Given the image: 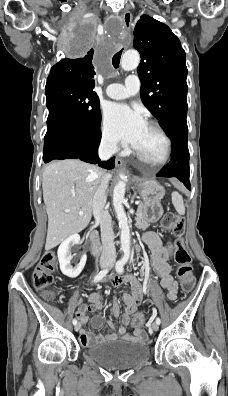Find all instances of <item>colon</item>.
Segmentation results:
<instances>
[{
  "instance_id": "obj_1",
  "label": "colon",
  "mask_w": 228,
  "mask_h": 396,
  "mask_svg": "<svg viewBox=\"0 0 228 396\" xmlns=\"http://www.w3.org/2000/svg\"><path fill=\"white\" fill-rule=\"evenodd\" d=\"M164 228L176 236L174 244V259L178 265L177 274L185 291L192 289L195 278L192 268V257L183 240L184 220L180 215L169 213L163 218ZM56 256L53 252H45L33 271L34 287L41 291L46 300H54L55 292L51 289L53 272L56 268ZM133 327L143 328V316L138 314L132 317Z\"/></svg>"
}]
</instances>
